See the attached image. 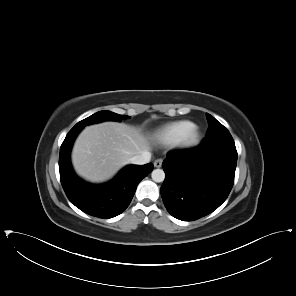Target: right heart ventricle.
<instances>
[{"instance_id": "e07e8e85", "label": "right heart ventricle", "mask_w": 296, "mask_h": 296, "mask_svg": "<svg viewBox=\"0 0 296 296\" xmlns=\"http://www.w3.org/2000/svg\"><path fill=\"white\" fill-rule=\"evenodd\" d=\"M192 126L193 123L187 120L170 122L159 128L155 133V137L164 145L176 144Z\"/></svg>"}]
</instances>
